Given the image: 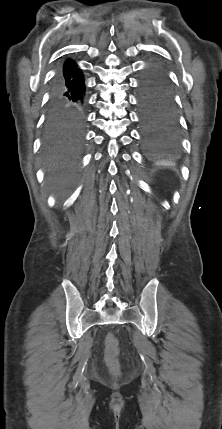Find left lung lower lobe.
Here are the masks:
<instances>
[{"instance_id":"obj_1","label":"left lung lower lobe","mask_w":222,"mask_h":429,"mask_svg":"<svg viewBox=\"0 0 222 429\" xmlns=\"http://www.w3.org/2000/svg\"><path fill=\"white\" fill-rule=\"evenodd\" d=\"M138 107L147 152L156 155L170 153L179 141V123L174 90L160 65H154L143 73Z\"/></svg>"}]
</instances>
